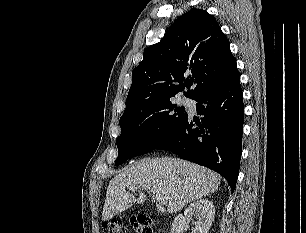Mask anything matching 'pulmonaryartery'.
Wrapping results in <instances>:
<instances>
[{
    "instance_id": "obj_1",
    "label": "pulmonary artery",
    "mask_w": 306,
    "mask_h": 233,
    "mask_svg": "<svg viewBox=\"0 0 306 233\" xmlns=\"http://www.w3.org/2000/svg\"><path fill=\"white\" fill-rule=\"evenodd\" d=\"M183 102L188 105L192 103V101L186 97L183 98Z\"/></svg>"
}]
</instances>
